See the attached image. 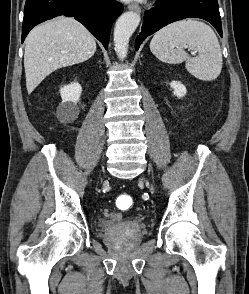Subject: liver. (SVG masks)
<instances>
[{"label": "liver", "instance_id": "1", "mask_svg": "<svg viewBox=\"0 0 249 294\" xmlns=\"http://www.w3.org/2000/svg\"><path fill=\"white\" fill-rule=\"evenodd\" d=\"M96 52L93 35L71 17L36 26L25 43L24 68L28 93L52 72L84 62Z\"/></svg>", "mask_w": 249, "mask_h": 294}]
</instances>
